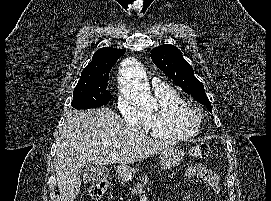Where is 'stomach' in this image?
I'll use <instances>...</instances> for the list:
<instances>
[{
    "instance_id": "stomach-1",
    "label": "stomach",
    "mask_w": 271,
    "mask_h": 201,
    "mask_svg": "<svg viewBox=\"0 0 271 201\" xmlns=\"http://www.w3.org/2000/svg\"><path fill=\"white\" fill-rule=\"evenodd\" d=\"M184 157V152L175 146L164 149L161 153L160 165L164 169H170L179 165ZM118 176L123 180H131L134 178L136 171L129 166L121 165L117 168Z\"/></svg>"
}]
</instances>
